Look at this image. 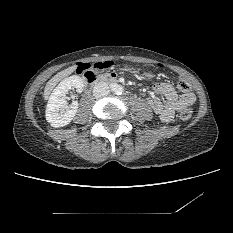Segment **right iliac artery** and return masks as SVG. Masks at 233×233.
I'll use <instances>...</instances> for the list:
<instances>
[{"label": "right iliac artery", "mask_w": 233, "mask_h": 233, "mask_svg": "<svg viewBox=\"0 0 233 233\" xmlns=\"http://www.w3.org/2000/svg\"><path fill=\"white\" fill-rule=\"evenodd\" d=\"M110 88H111L112 91H116L117 90L116 84H111Z\"/></svg>", "instance_id": "obj_1"}]
</instances>
